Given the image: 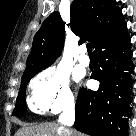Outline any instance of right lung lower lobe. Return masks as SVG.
I'll return each mask as SVG.
<instances>
[{"label": "right lung lower lobe", "mask_w": 136, "mask_h": 136, "mask_svg": "<svg viewBox=\"0 0 136 136\" xmlns=\"http://www.w3.org/2000/svg\"><path fill=\"white\" fill-rule=\"evenodd\" d=\"M95 56L98 66L91 78L100 86L97 91L80 89L75 127L91 136H127L133 71L129 35L101 45Z\"/></svg>", "instance_id": "1"}]
</instances>
